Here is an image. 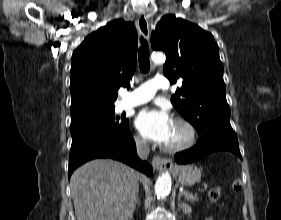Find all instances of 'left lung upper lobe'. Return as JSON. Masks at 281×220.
Masks as SVG:
<instances>
[{"label":"left lung upper lobe","mask_w":281,"mask_h":220,"mask_svg":"<svg viewBox=\"0 0 281 220\" xmlns=\"http://www.w3.org/2000/svg\"><path fill=\"white\" fill-rule=\"evenodd\" d=\"M151 43L154 50L166 54L163 73L170 82L183 79L171 101L197 132L232 129L223 64L212 34L174 15H165L152 33Z\"/></svg>","instance_id":"5c2ea615"}]
</instances>
